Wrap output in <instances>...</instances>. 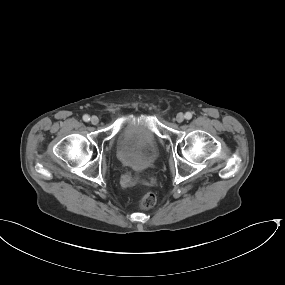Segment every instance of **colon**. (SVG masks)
I'll return each instance as SVG.
<instances>
[{
    "label": "colon",
    "instance_id": "5ec220e1",
    "mask_svg": "<svg viewBox=\"0 0 285 285\" xmlns=\"http://www.w3.org/2000/svg\"><path fill=\"white\" fill-rule=\"evenodd\" d=\"M156 200V195L150 191H147L142 195L139 205L143 209H150L156 204Z\"/></svg>",
    "mask_w": 285,
    "mask_h": 285
}]
</instances>
